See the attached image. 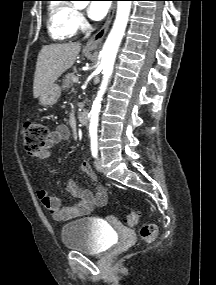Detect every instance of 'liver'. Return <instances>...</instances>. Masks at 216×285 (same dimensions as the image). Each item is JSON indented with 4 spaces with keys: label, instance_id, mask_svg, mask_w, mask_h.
I'll return each instance as SVG.
<instances>
[{
    "label": "liver",
    "instance_id": "liver-1",
    "mask_svg": "<svg viewBox=\"0 0 216 285\" xmlns=\"http://www.w3.org/2000/svg\"><path fill=\"white\" fill-rule=\"evenodd\" d=\"M81 49L78 42L43 46L38 54L33 82V96L38 98L75 63Z\"/></svg>",
    "mask_w": 216,
    "mask_h": 285
}]
</instances>
